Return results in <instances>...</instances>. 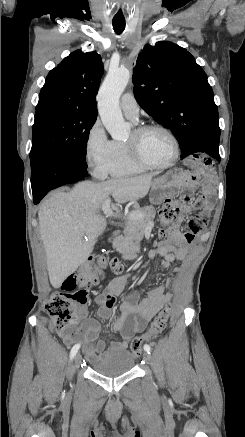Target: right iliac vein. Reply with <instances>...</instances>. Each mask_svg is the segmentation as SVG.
I'll return each mask as SVG.
<instances>
[{"instance_id": "right-iliac-vein-1", "label": "right iliac vein", "mask_w": 245, "mask_h": 437, "mask_svg": "<svg viewBox=\"0 0 245 437\" xmlns=\"http://www.w3.org/2000/svg\"><path fill=\"white\" fill-rule=\"evenodd\" d=\"M81 362V355L78 353L75 358H74V362H73V368L74 370H76L79 367V364Z\"/></svg>"}]
</instances>
